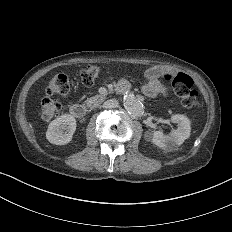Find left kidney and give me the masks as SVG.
Here are the masks:
<instances>
[{"label": "left kidney", "instance_id": "5707ae66", "mask_svg": "<svg viewBox=\"0 0 232 232\" xmlns=\"http://www.w3.org/2000/svg\"><path fill=\"white\" fill-rule=\"evenodd\" d=\"M173 123L178 124V128L165 135L162 131H154L152 142L162 149L180 146L190 136V120L180 114L171 117Z\"/></svg>", "mask_w": 232, "mask_h": 232}]
</instances>
